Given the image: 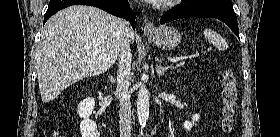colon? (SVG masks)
I'll return each instance as SVG.
<instances>
[{
    "mask_svg": "<svg viewBox=\"0 0 280 137\" xmlns=\"http://www.w3.org/2000/svg\"><path fill=\"white\" fill-rule=\"evenodd\" d=\"M222 104H223V130L230 132L235 117V104L237 100L236 77L233 71L225 69L222 73Z\"/></svg>",
    "mask_w": 280,
    "mask_h": 137,
    "instance_id": "5ec220e1",
    "label": "colon"
}]
</instances>
